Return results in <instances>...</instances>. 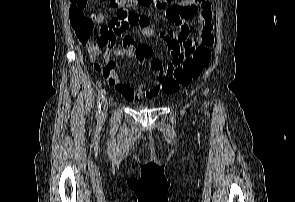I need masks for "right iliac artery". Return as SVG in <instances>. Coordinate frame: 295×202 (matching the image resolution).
Returning a JSON list of instances; mask_svg holds the SVG:
<instances>
[{"instance_id":"82829eb1","label":"right iliac artery","mask_w":295,"mask_h":202,"mask_svg":"<svg viewBox=\"0 0 295 202\" xmlns=\"http://www.w3.org/2000/svg\"><path fill=\"white\" fill-rule=\"evenodd\" d=\"M104 95H105V90H104V89H101V90L98 92V96H97V112H96V116H97L98 118L101 117V104H102V101H103Z\"/></svg>"}]
</instances>
